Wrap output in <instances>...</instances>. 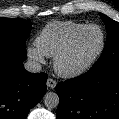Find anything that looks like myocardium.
<instances>
[{"mask_svg":"<svg viewBox=\"0 0 119 119\" xmlns=\"http://www.w3.org/2000/svg\"><path fill=\"white\" fill-rule=\"evenodd\" d=\"M91 28L98 29L99 32H100V34H101V42H100V46H99L98 50L84 64H82L80 66H77V67H73V68H67V67H65L64 66V60L68 56V54L70 53V51L72 50L75 42L77 41V39L80 37L81 34H83L86 30L91 29ZM105 42H106V37H105L104 30L99 25H97V24H87V25L83 26L82 28H80L79 30H77L71 36V38L68 40V42L66 43V45L55 56V59H54V68H55V71L59 75H61L63 77H66V78H73V77H77V76H80V75L84 74L85 72H87L94 65V63L98 60V58L103 53V50L105 48Z\"/></svg>","mask_w":119,"mask_h":119,"instance_id":"1","label":"myocardium"}]
</instances>
